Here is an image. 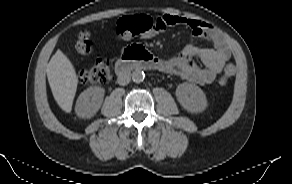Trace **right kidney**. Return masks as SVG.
Wrapping results in <instances>:
<instances>
[{
	"instance_id": "ca27d5eb",
	"label": "right kidney",
	"mask_w": 292,
	"mask_h": 184,
	"mask_svg": "<svg viewBox=\"0 0 292 184\" xmlns=\"http://www.w3.org/2000/svg\"><path fill=\"white\" fill-rule=\"evenodd\" d=\"M105 90L101 87H90L78 97L75 111L81 118H91L100 109Z\"/></svg>"
}]
</instances>
